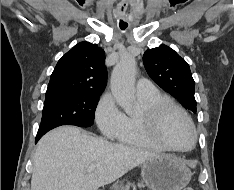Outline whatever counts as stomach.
I'll list each match as a JSON object with an SVG mask.
<instances>
[{"label": "stomach", "instance_id": "stomach-1", "mask_svg": "<svg viewBox=\"0 0 234 190\" xmlns=\"http://www.w3.org/2000/svg\"><path fill=\"white\" fill-rule=\"evenodd\" d=\"M141 174L151 190H182L188 185L192 175L181 159L163 154L147 160ZM118 188V185L114 186V190Z\"/></svg>", "mask_w": 234, "mask_h": 190}]
</instances>
